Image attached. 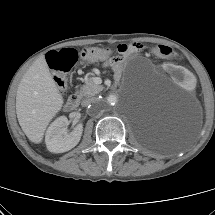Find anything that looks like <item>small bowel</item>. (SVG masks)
Listing matches in <instances>:
<instances>
[{
	"instance_id": "1",
	"label": "small bowel",
	"mask_w": 215,
	"mask_h": 215,
	"mask_svg": "<svg viewBox=\"0 0 215 215\" xmlns=\"http://www.w3.org/2000/svg\"><path fill=\"white\" fill-rule=\"evenodd\" d=\"M135 44L137 45V48L133 52H128L126 54H120L121 55L120 57H116L115 59H113L112 63L114 65V70H115L116 75H120V73H121V70H122L121 63H122V60L124 57H127L134 53H138L144 49L142 44H140V43H135Z\"/></svg>"
}]
</instances>
